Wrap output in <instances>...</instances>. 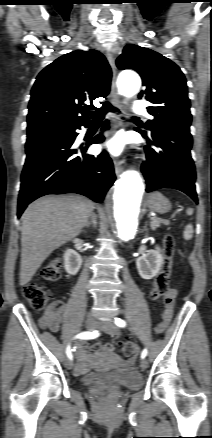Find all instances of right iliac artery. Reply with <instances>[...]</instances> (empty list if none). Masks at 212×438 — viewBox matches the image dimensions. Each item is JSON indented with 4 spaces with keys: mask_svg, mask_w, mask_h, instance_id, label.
Wrapping results in <instances>:
<instances>
[{
    "mask_svg": "<svg viewBox=\"0 0 212 438\" xmlns=\"http://www.w3.org/2000/svg\"><path fill=\"white\" fill-rule=\"evenodd\" d=\"M98 336H99V332L96 330V331H93V332H91V331L82 332V333L76 335L75 338H79V339H94V338H96ZM66 355H67V357L69 359H71V360L73 359V355H72V351H71L70 345L67 346Z\"/></svg>",
    "mask_w": 212,
    "mask_h": 438,
    "instance_id": "1",
    "label": "right iliac artery"
}]
</instances>
